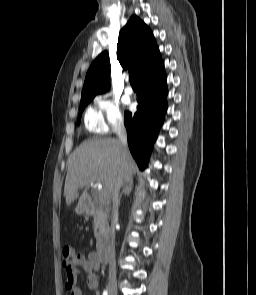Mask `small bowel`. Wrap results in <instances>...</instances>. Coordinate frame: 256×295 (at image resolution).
<instances>
[{
  "label": "small bowel",
  "instance_id": "1",
  "mask_svg": "<svg viewBox=\"0 0 256 295\" xmlns=\"http://www.w3.org/2000/svg\"><path fill=\"white\" fill-rule=\"evenodd\" d=\"M100 262L98 261L96 252L92 251L84 258L81 265L73 271L66 272L65 287L70 295H83L81 287L78 285V276L83 272L87 273V283L90 289L98 288L99 278L98 271L100 269Z\"/></svg>",
  "mask_w": 256,
  "mask_h": 295
}]
</instances>
